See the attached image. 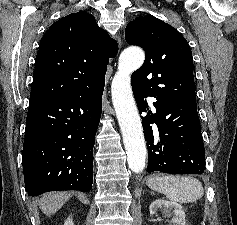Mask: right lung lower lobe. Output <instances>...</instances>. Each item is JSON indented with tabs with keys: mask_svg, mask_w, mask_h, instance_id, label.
<instances>
[{
	"mask_svg": "<svg viewBox=\"0 0 237 225\" xmlns=\"http://www.w3.org/2000/svg\"><path fill=\"white\" fill-rule=\"evenodd\" d=\"M103 89L104 82L64 99L29 105L22 157L28 195L91 190Z\"/></svg>",
	"mask_w": 237,
	"mask_h": 225,
	"instance_id": "1",
	"label": "right lung lower lobe"
}]
</instances>
